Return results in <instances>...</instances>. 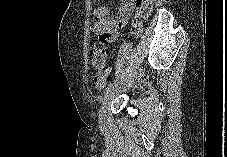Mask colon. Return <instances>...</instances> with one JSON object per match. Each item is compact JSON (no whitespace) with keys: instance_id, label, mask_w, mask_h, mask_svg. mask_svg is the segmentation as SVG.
I'll list each match as a JSON object with an SVG mask.
<instances>
[{"instance_id":"5ec220e1","label":"colon","mask_w":227,"mask_h":157,"mask_svg":"<svg viewBox=\"0 0 227 157\" xmlns=\"http://www.w3.org/2000/svg\"><path fill=\"white\" fill-rule=\"evenodd\" d=\"M154 0H137L136 14L133 20V32H136L142 21L147 19L153 10ZM102 41V40H101ZM102 43H104L102 41ZM92 64L95 68H102L105 64L106 51L103 47L94 45L90 51ZM109 82V73L107 70L96 74L93 79V85L98 91H102Z\"/></svg>"}]
</instances>
